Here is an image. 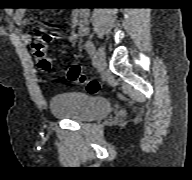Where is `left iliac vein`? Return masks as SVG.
<instances>
[{"label":"left iliac vein","instance_id":"obj_1","mask_svg":"<svg viewBox=\"0 0 192 180\" xmlns=\"http://www.w3.org/2000/svg\"><path fill=\"white\" fill-rule=\"evenodd\" d=\"M95 61L99 71H103L106 66V53L102 47H99L95 53Z\"/></svg>","mask_w":192,"mask_h":180}]
</instances>
